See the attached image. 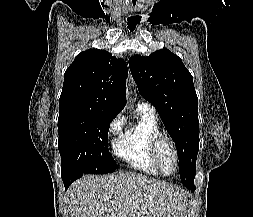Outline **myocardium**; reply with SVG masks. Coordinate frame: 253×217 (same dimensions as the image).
<instances>
[{
	"label": "myocardium",
	"mask_w": 253,
	"mask_h": 217,
	"mask_svg": "<svg viewBox=\"0 0 253 217\" xmlns=\"http://www.w3.org/2000/svg\"><path fill=\"white\" fill-rule=\"evenodd\" d=\"M164 144H167L171 148V150L173 152L174 160H175V168L171 173H167L164 171L161 161H160V150ZM150 154H151L153 162L155 163V165L161 175L171 176L178 171L179 163H180L179 153H178V149L176 147L175 142L170 137H168L166 135H162V134L155 137L151 141V144H150Z\"/></svg>",
	"instance_id": "f54148a6"
}]
</instances>
